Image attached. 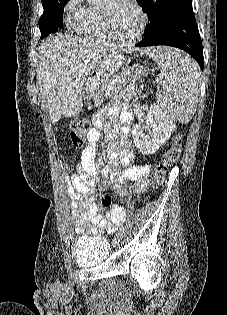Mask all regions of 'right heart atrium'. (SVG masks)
Segmentation results:
<instances>
[{
    "label": "right heart atrium",
    "mask_w": 227,
    "mask_h": 315,
    "mask_svg": "<svg viewBox=\"0 0 227 315\" xmlns=\"http://www.w3.org/2000/svg\"><path fill=\"white\" fill-rule=\"evenodd\" d=\"M84 10L82 0H68L65 4L64 11L69 15H73L74 19Z\"/></svg>",
    "instance_id": "obj_1"
}]
</instances>
